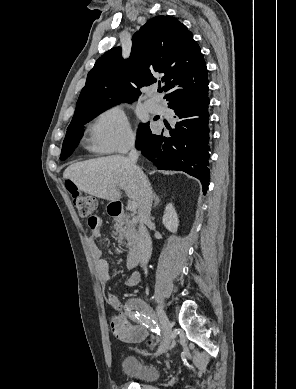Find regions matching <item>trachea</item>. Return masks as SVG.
I'll return each instance as SVG.
<instances>
[{
	"instance_id": "1",
	"label": "trachea",
	"mask_w": 296,
	"mask_h": 389,
	"mask_svg": "<svg viewBox=\"0 0 296 389\" xmlns=\"http://www.w3.org/2000/svg\"><path fill=\"white\" fill-rule=\"evenodd\" d=\"M158 92H162L163 90H162V88H158V90H157Z\"/></svg>"
}]
</instances>
